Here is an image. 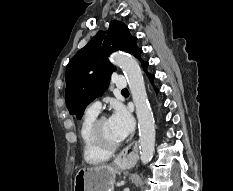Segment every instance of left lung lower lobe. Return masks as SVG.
<instances>
[{"label": "left lung lower lobe", "mask_w": 233, "mask_h": 191, "mask_svg": "<svg viewBox=\"0 0 233 191\" xmlns=\"http://www.w3.org/2000/svg\"><path fill=\"white\" fill-rule=\"evenodd\" d=\"M141 65H142L144 71L147 73V75H148L150 81L153 82L154 75L149 74V73L147 72V67H148L149 63L146 62V61L141 60ZM154 88H155L156 92H158V89H157L156 87H154Z\"/></svg>", "instance_id": "left-lung-lower-lobe-1"}]
</instances>
